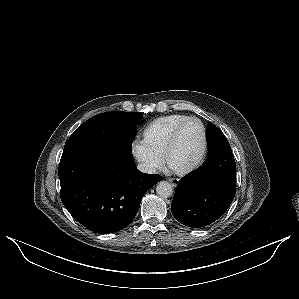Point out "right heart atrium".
I'll return each instance as SVG.
<instances>
[{
    "instance_id": "1",
    "label": "right heart atrium",
    "mask_w": 299,
    "mask_h": 299,
    "mask_svg": "<svg viewBox=\"0 0 299 299\" xmlns=\"http://www.w3.org/2000/svg\"><path fill=\"white\" fill-rule=\"evenodd\" d=\"M131 153L145 172L152 173L161 166V159L153 155L143 142L134 141L131 146Z\"/></svg>"
}]
</instances>
